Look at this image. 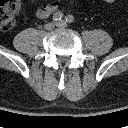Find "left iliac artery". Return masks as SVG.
<instances>
[{
  "instance_id": "1",
  "label": "left iliac artery",
  "mask_w": 128,
  "mask_h": 128,
  "mask_svg": "<svg viewBox=\"0 0 128 128\" xmlns=\"http://www.w3.org/2000/svg\"><path fill=\"white\" fill-rule=\"evenodd\" d=\"M65 19H66V22H68V23L74 22V17L72 15H67Z\"/></svg>"
}]
</instances>
